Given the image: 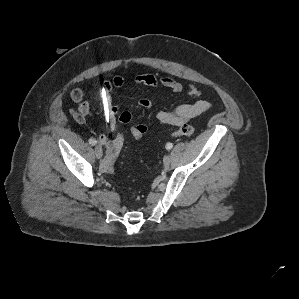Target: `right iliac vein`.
Returning a JSON list of instances; mask_svg holds the SVG:
<instances>
[{"label": "right iliac vein", "mask_w": 299, "mask_h": 299, "mask_svg": "<svg viewBox=\"0 0 299 299\" xmlns=\"http://www.w3.org/2000/svg\"><path fill=\"white\" fill-rule=\"evenodd\" d=\"M95 155L98 159H100L103 155L102 148L99 145L95 147Z\"/></svg>", "instance_id": "obj_1"}]
</instances>
